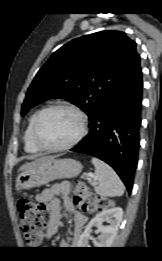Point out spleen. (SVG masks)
I'll use <instances>...</instances> for the list:
<instances>
[{
    "mask_svg": "<svg viewBox=\"0 0 162 261\" xmlns=\"http://www.w3.org/2000/svg\"><path fill=\"white\" fill-rule=\"evenodd\" d=\"M91 162L95 167L94 178L98 180V183L94 184L95 192L103 197L122 196L125 187L116 172L98 158H92Z\"/></svg>",
    "mask_w": 162,
    "mask_h": 261,
    "instance_id": "obj_1",
    "label": "spleen"
}]
</instances>
